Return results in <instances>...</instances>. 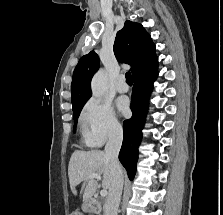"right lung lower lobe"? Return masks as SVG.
Returning a JSON list of instances; mask_svg holds the SVG:
<instances>
[{
	"label": "right lung lower lobe",
	"instance_id": "obj_1",
	"mask_svg": "<svg viewBox=\"0 0 223 215\" xmlns=\"http://www.w3.org/2000/svg\"><path fill=\"white\" fill-rule=\"evenodd\" d=\"M158 75L157 68L147 74L134 78V88L130 108L133 116L123 123V144L119 153V160L127 170L130 180L136 173L138 146L141 142L145 117L148 109L149 95L153 82Z\"/></svg>",
	"mask_w": 223,
	"mask_h": 215
}]
</instances>
